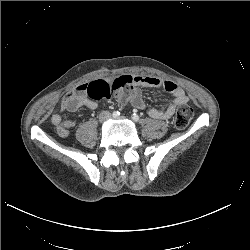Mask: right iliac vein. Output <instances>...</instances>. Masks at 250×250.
I'll return each mask as SVG.
<instances>
[{
	"label": "right iliac vein",
	"mask_w": 250,
	"mask_h": 250,
	"mask_svg": "<svg viewBox=\"0 0 250 250\" xmlns=\"http://www.w3.org/2000/svg\"><path fill=\"white\" fill-rule=\"evenodd\" d=\"M110 117V114L106 111L102 112L100 115H99V122L100 123H103L105 122L108 118Z\"/></svg>",
	"instance_id": "63e3f726"
}]
</instances>
